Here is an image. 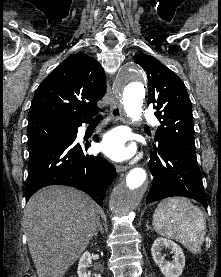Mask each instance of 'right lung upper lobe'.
I'll use <instances>...</instances> for the list:
<instances>
[{
    "label": "right lung upper lobe",
    "instance_id": "cb5924a9",
    "mask_svg": "<svg viewBox=\"0 0 221 277\" xmlns=\"http://www.w3.org/2000/svg\"><path fill=\"white\" fill-rule=\"evenodd\" d=\"M106 91V75L92 57L77 53L67 57L37 88L28 125L57 121H82L98 110Z\"/></svg>",
    "mask_w": 221,
    "mask_h": 277
}]
</instances>
